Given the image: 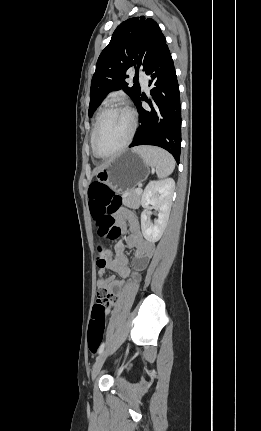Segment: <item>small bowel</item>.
I'll return each mask as SVG.
<instances>
[{"mask_svg": "<svg viewBox=\"0 0 261 431\" xmlns=\"http://www.w3.org/2000/svg\"><path fill=\"white\" fill-rule=\"evenodd\" d=\"M118 220L121 227L129 226V234L126 244L129 248L134 249L133 270L128 267V260L124 255V245L122 242L115 244V259L108 260L104 265H98L97 287L105 290L111 296L119 297L123 293L124 279L128 278L132 272L138 273L144 270L151 257L153 256L155 246L152 242L147 241L141 233L138 217L131 210H121L118 213ZM106 270H110L120 276L123 280H116L114 276H106ZM112 304L107 305L105 315L111 310Z\"/></svg>", "mask_w": 261, "mask_h": 431, "instance_id": "c3829d8e", "label": "small bowel"}]
</instances>
